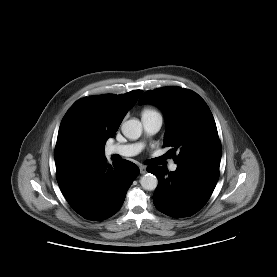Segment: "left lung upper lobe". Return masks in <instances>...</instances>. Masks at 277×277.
<instances>
[{"label":"left lung upper lobe","mask_w":277,"mask_h":277,"mask_svg":"<svg viewBox=\"0 0 277 277\" xmlns=\"http://www.w3.org/2000/svg\"><path fill=\"white\" fill-rule=\"evenodd\" d=\"M139 103L155 104L166 113L168 124L163 144L172 147L168 153L177 165L220 161L221 144L213 115L197 93L179 87L158 88L145 92Z\"/></svg>","instance_id":"1"}]
</instances>
